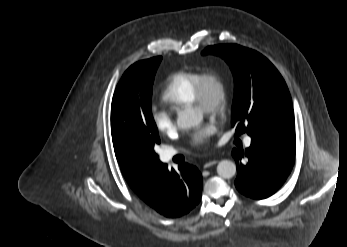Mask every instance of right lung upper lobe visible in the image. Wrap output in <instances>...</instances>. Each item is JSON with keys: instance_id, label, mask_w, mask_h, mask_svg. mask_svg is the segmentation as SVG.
Listing matches in <instances>:
<instances>
[{"instance_id": "1", "label": "right lung upper lobe", "mask_w": 347, "mask_h": 247, "mask_svg": "<svg viewBox=\"0 0 347 247\" xmlns=\"http://www.w3.org/2000/svg\"><path fill=\"white\" fill-rule=\"evenodd\" d=\"M113 146L122 174L132 190L141 199L151 197L155 193L156 180L164 164L160 161L146 162L117 144L113 143Z\"/></svg>"}]
</instances>
